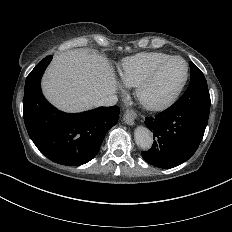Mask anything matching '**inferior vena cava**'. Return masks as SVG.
I'll return each mask as SVG.
<instances>
[{
    "label": "inferior vena cava",
    "instance_id": "602c4592",
    "mask_svg": "<svg viewBox=\"0 0 232 232\" xmlns=\"http://www.w3.org/2000/svg\"><path fill=\"white\" fill-rule=\"evenodd\" d=\"M117 101L118 98L116 95L108 94L97 100L95 104L100 106H114L117 103Z\"/></svg>",
    "mask_w": 232,
    "mask_h": 232
}]
</instances>
